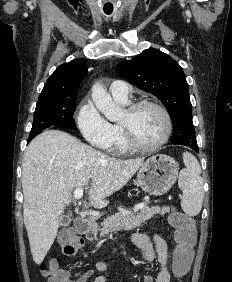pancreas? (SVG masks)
I'll list each match as a JSON object with an SVG mask.
<instances>
[{
	"instance_id": "1",
	"label": "pancreas",
	"mask_w": 232,
	"mask_h": 282,
	"mask_svg": "<svg viewBox=\"0 0 232 282\" xmlns=\"http://www.w3.org/2000/svg\"><path fill=\"white\" fill-rule=\"evenodd\" d=\"M169 212V207L154 206V207H144L141 209L140 213L134 214H123L115 213L101 223L100 236H104L109 232H117L120 230H131L142 226L146 221L153 218L155 215H164Z\"/></svg>"
}]
</instances>
